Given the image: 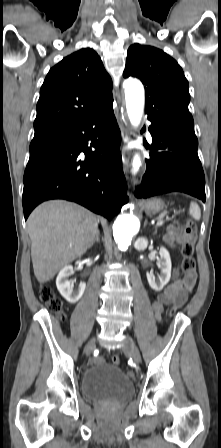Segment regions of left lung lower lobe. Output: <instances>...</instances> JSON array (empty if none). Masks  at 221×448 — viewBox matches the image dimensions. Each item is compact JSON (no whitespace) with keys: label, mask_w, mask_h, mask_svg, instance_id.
<instances>
[{"label":"left lung lower lobe","mask_w":221,"mask_h":448,"mask_svg":"<svg viewBox=\"0 0 221 448\" xmlns=\"http://www.w3.org/2000/svg\"><path fill=\"white\" fill-rule=\"evenodd\" d=\"M150 159L135 195L148 198L179 191L205 202V178L197 154V138L187 137L151 122Z\"/></svg>","instance_id":"obj_1"}]
</instances>
